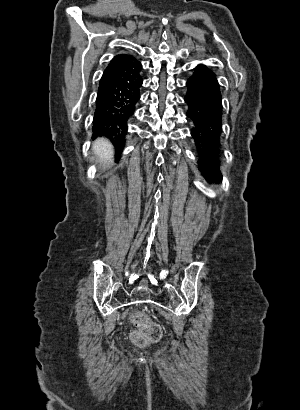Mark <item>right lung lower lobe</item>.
<instances>
[{
  "mask_svg": "<svg viewBox=\"0 0 300 410\" xmlns=\"http://www.w3.org/2000/svg\"><path fill=\"white\" fill-rule=\"evenodd\" d=\"M141 63L134 57L111 62L100 79L93 131L108 137L120 153L125 145L127 122L140 99Z\"/></svg>",
  "mask_w": 300,
  "mask_h": 410,
  "instance_id": "1",
  "label": "right lung lower lobe"
}]
</instances>
